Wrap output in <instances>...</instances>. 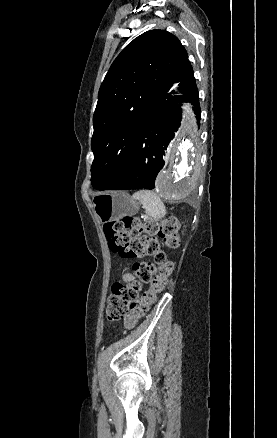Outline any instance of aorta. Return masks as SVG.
<instances>
[{
	"mask_svg": "<svg viewBox=\"0 0 277 438\" xmlns=\"http://www.w3.org/2000/svg\"><path fill=\"white\" fill-rule=\"evenodd\" d=\"M200 156L197 131L192 115H187L168 151V166L156 180V190L168 200L189 196L197 187Z\"/></svg>",
	"mask_w": 277,
	"mask_h": 438,
	"instance_id": "762f6f07",
	"label": "aorta"
}]
</instances>
